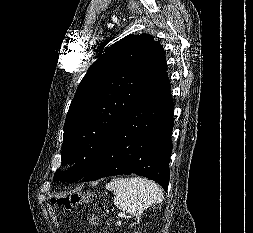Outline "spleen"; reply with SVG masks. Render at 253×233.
I'll use <instances>...</instances> for the list:
<instances>
[{
    "label": "spleen",
    "mask_w": 253,
    "mask_h": 233,
    "mask_svg": "<svg viewBox=\"0 0 253 233\" xmlns=\"http://www.w3.org/2000/svg\"><path fill=\"white\" fill-rule=\"evenodd\" d=\"M114 193V204L122 211L139 218L147 208L160 204L164 195L153 181L140 177L117 178L106 185Z\"/></svg>",
    "instance_id": "3e777b00"
}]
</instances>
